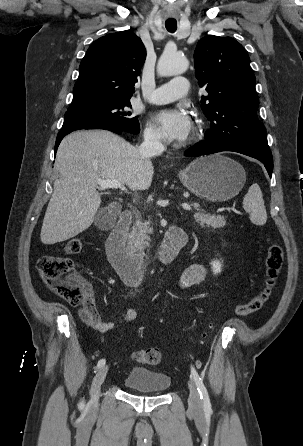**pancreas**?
Segmentation results:
<instances>
[{
	"label": "pancreas",
	"mask_w": 303,
	"mask_h": 446,
	"mask_svg": "<svg viewBox=\"0 0 303 446\" xmlns=\"http://www.w3.org/2000/svg\"><path fill=\"white\" fill-rule=\"evenodd\" d=\"M193 207L198 211L194 214L195 222L202 227H211L213 229L222 228L226 225V220L223 216L211 215L200 209V205L194 202ZM149 221L144 223L141 217L138 216L134 226L128 234V249L133 252H142L148 245V234H151L153 229L149 228Z\"/></svg>",
	"instance_id": "obj_1"
}]
</instances>
